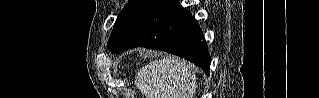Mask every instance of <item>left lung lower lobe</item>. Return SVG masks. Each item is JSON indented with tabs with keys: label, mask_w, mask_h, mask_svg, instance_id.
I'll list each match as a JSON object with an SVG mask.
<instances>
[{
	"label": "left lung lower lobe",
	"mask_w": 319,
	"mask_h": 98,
	"mask_svg": "<svg viewBox=\"0 0 319 98\" xmlns=\"http://www.w3.org/2000/svg\"><path fill=\"white\" fill-rule=\"evenodd\" d=\"M134 47L164 50L195 63L209 74L211 59L203 33L178 0H157L137 31L114 53Z\"/></svg>",
	"instance_id": "left-lung-lower-lobe-1"
}]
</instances>
